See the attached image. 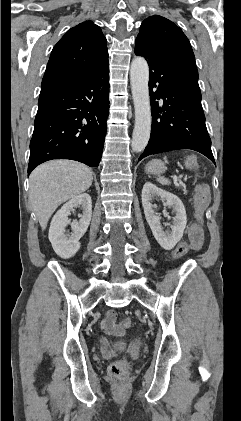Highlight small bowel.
I'll return each mask as SVG.
<instances>
[{"mask_svg": "<svg viewBox=\"0 0 241 421\" xmlns=\"http://www.w3.org/2000/svg\"><path fill=\"white\" fill-rule=\"evenodd\" d=\"M189 239L192 249H199L203 244V232L201 228L192 224L189 227ZM102 328L111 335H121L124 332L125 327L116 323V314L113 310L107 311L105 317L102 320Z\"/></svg>", "mask_w": 241, "mask_h": 421, "instance_id": "c3829d8e", "label": "small bowel"}]
</instances>
